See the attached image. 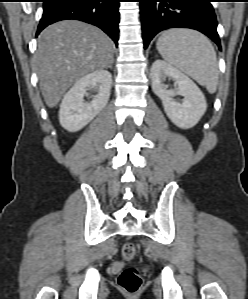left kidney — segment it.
<instances>
[{
  "label": "left kidney",
  "mask_w": 248,
  "mask_h": 299,
  "mask_svg": "<svg viewBox=\"0 0 248 299\" xmlns=\"http://www.w3.org/2000/svg\"><path fill=\"white\" fill-rule=\"evenodd\" d=\"M175 81V88L168 89L164 81ZM152 90L161 99L168 118L179 128L195 126L207 109L205 97L198 86L184 73L162 60H156L151 68ZM175 95L184 97L183 101L173 99Z\"/></svg>",
  "instance_id": "1"
}]
</instances>
